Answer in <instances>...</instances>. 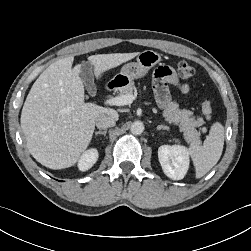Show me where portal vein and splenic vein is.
<instances>
[{
	"instance_id": "obj_1",
	"label": "portal vein and splenic vein",
	"mask_w": 251,
	"mask_h": 251,
	"mask_svg": "<svg viewBox=\"0 0 251 251\" xmlns=\"http://www.w3.org/2000/svg\"><path fill=\"white\" fill-rule=\"evenodd\" d=\"M136 98V95L126 94L123 96H117L113 98H109L105 100V104L107 105H115V106H124L131 104Z\"/></svg>"
}]
</instances>
